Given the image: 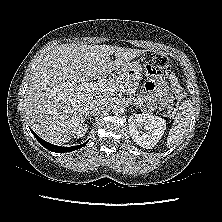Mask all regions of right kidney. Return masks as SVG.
<instances>
[{"instance_id":"obj_1","label":"right kidney","mask_w":222,"mask_h":222,"mask_svg":"<svg viewBox=\"0 0 222 222\" xmlns=\"http://www.w3.org/2000/svg\"><path fill=\"white\" fill-rule=\"evenodd\" d=\"M87 130L88 127L86 124H80L75 132V137L77 138L83 137L86 134Z\"/></svg>"}]
</instances>
